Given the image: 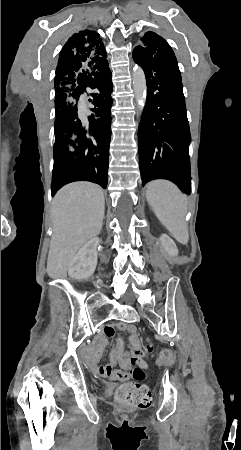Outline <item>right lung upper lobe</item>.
<instances>
[{
    "label": "right lung upper lobe",
    "instance_id": "obj_1",
    "mask_svg": "<svg viewBox=\"0 0 241 450\" xmlns=\"http://www.w3.org/2000/svg\"><path fill=\"white\" fill-rule=\"evenodd\" d=\"M99 37L97 32L85 29L70 37L63 46L56 68L55 101L67 93L63 82L68 76L107 62V53Z\"/></svg>",
    "mask_w": 241,
    "mask_h": 450
}]
</instances>
